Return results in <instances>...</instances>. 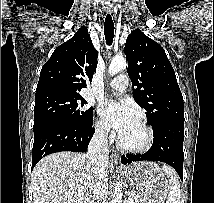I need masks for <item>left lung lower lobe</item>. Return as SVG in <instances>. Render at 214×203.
I'll use <instances>...</instances> for the list:
<instances>
[{"mask_svg": "<svg viewBox=\"0 0 214 203\" xmlns=\"http://www.w3.org/2000/svg\"><path fill=\"white\" fill-rule=\"evenodd\" d=\"M153 135V145L146 153L123 156L121 163L161 161L172 166L180 178L183 179L184 122L172 121L165 123Z\"/></svg>", "mask_w": 214, "mask_h": 203, "instance_id": "obj_1", "label": "left lung lower lobe"}]
</instances>
